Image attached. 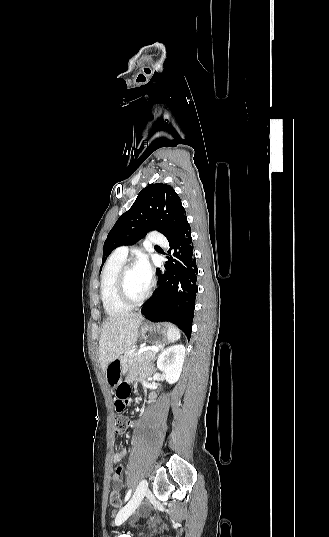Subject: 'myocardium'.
Masks as SVG:
<instances>
[{
    "label": "myocardium",
    "instance_id": "myocardium-1",
    "mask_svg": "<svg viewBox=\"0 0 329 537\" xmlns=\"http://www.w3.org/2000/svg\"><path fill=\"white\" fill-rule=\"evenodd\" d=\"M135 265L134 264H124L121 269L119 270L118 272V275H117V293H118V297L120 299V301L126 305L127 307L129 308H133V307H137V306H140L142 303H144L148 297L150 296L151 294V291H152V285L150 284L148 286V289L147 291L145 292V294L137 299V300H132L129 298V296L127 295V292H126V288H125V280H126V274L127 272L134 268Z\"/></svg>",
    "mask_w": 329,
    "mask_h": 537
}]
</instances>
